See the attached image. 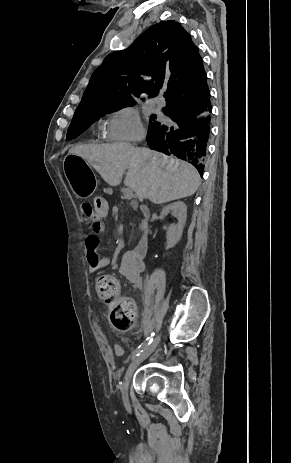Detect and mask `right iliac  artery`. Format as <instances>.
Here are the masks:
<instances>
[{
  "label": "right iliac artery",
  "mask_w": 291,
  "mask_h": 463,
  "mask_svg": "<svg viewBox=\"0 0 291 463\" xmlns=\"http://www.w3.org/2000/svg\"><path fill=\"white\" fill-rule=\"evenodd\" d=\"M155 335V333H151V336L147 337L146 341L141 344L131 355V359H134L136 356H138L140 354V352H142L143 348L146 346V345H149L152 341H153V336Z\"/></svg>",
  "instance_id": "1"
}]
</instances>
